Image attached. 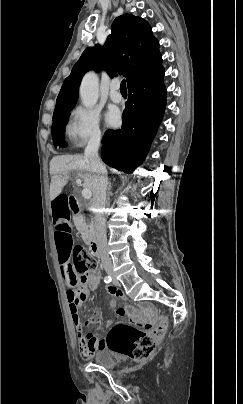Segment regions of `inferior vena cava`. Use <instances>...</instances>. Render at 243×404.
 Segmentation results:
<instances>
[{"label": "inferior vena cava", "mask_w": 243, "mask_h": 404, "mask_svg": "<svg viewBox=\"0 0 243 404\" xmlns=\"http://www.w3.org/2000/svg\"><path fill=\"white\" fill-rule=\"evenodd\" d=\"M101 136H92L88 142V146L84 152L86 160H89L93 180V214L95 222V234L98 252L100 254L101 262L109 274L114 272L113 266L110 262L107 250L106 238V218H105V202H106V188H107V172L103 166L99 156L98 148Z\"/></svg>", "instance_id": "inferior-vena-cava-1"}]
</instances>
